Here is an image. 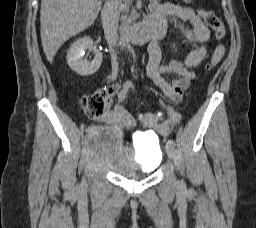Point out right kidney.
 <instances>
[{"instance_id": "right-kidney-1", "label": "right kidney", "mask_w": 256, "mask_h": 228, "mask_svg": "<svg viewBox=\"0 0 256 228\" xmlns=\"http://www.w3.org/2000/svg\"><path fill=\"white\" fill-rule=\"evenodd\" d=\"M92 50L95 53L94 60L88 62L83 59L85 50ZM103 61L102 53L97 51L90 37L77 39L69 48L67 63L69 67L80 76H90L97 72Z\"/></svg>"}]
</instances>
